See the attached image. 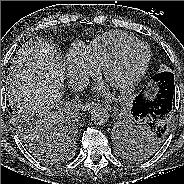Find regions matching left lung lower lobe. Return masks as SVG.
Here are the masks:
<instances>
[{
  "label": "left lung lower lobe",
  "instance_id": "obj_1",
  "mask_svg": "<svg viewBox=\"0 0 184 184\" xmlns=\"http://www.w3.org/2000/svg\"><path fill=\"white\" fill-rule=\"evenodd\" d=\"M159 91L150 99L144 96L143 91L135 97L130 114L162 135L170 129V115L174 98V75L171 72H161L153 77Z\"/></svg>",
  "mask_w": 184,
  "mask_h": 184
}]
</instances>
